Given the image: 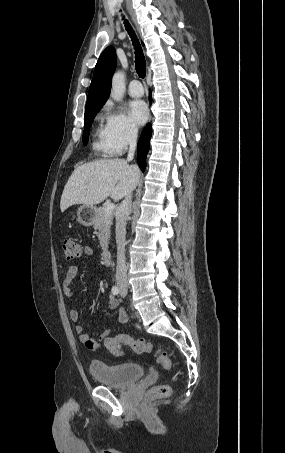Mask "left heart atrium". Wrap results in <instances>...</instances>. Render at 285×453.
<instances>
[{
	"label": "left heart atrium",
	"instance_id": "obj_1",
	"mask_svg": "<svg viewBox=\"0 0 285 453\" xmlns=\"http://www.w3.org/2000/svg\"><path fill=\"white\" fill-rule=\"evenodd\" d=\"M149 115L148 107L142 100H134L129 104V116L136 125H143Z\"/></svg>",
	"mask_w": 285,
	"mask_h": 453
}]
</instances>
